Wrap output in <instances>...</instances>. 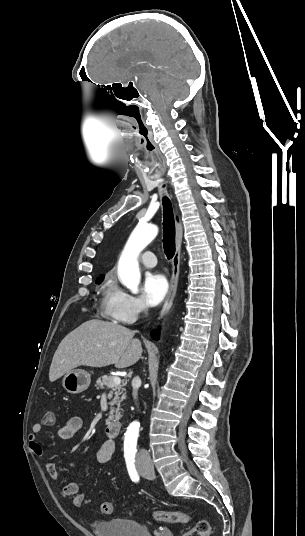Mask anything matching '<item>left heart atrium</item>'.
<instances>
[{
    "mask_svg": "<svg viewBox=\"0 0 305 536\" xmlns=\"http://www.w3.org/2000/svg\"><path fill=\"white\" fill-rule=\"evenodd\" d=\"M167 290L168 284L163 275L156 273L146 274L143 281V293L150 305H158L165 297Z\"/></svg>",
    "mask_w": 305,
    "mask_h": 536,
    "instance_id": "left-heart-atrium-1",
    "label": "left heart atrium"
}]
</instances>
